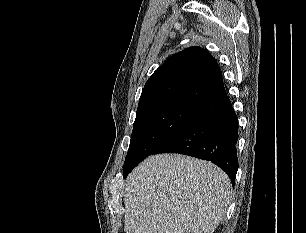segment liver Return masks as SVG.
<instances>
[{"mask_svg":"<svg viewBox=\"0 0 306 233\" xmlns=\"http://www.w3.org/2000/svg\"><path fill=\"white\" fill-rule=\"evenodd\" d=\"M232 194L211 162L178 154L149 156L124 189L126 233H214Z\"/></svg>","mask_w":306,"mask_h":233,"instance_id":"obj_1","label":"liver"}]
</instances>
